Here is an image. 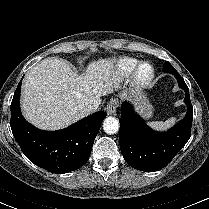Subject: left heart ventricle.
<instances>
[{
    "label": "left heart ventricle",
    "mask_w": 209,
    "mask_h": 209,
    "mask_svg": "<svg viewBox=\"0 0 209 209\" xmlns=\"http://www.w3.org/2000/svg\"><path fill=\"white\" fill-rule=\"evenodd\" d=\"M148 71H149V69L146 67V68L144 69V72H145V73H148Z\"/></svg>",
    "instance_id": "b2bd125f"
}]
</instances>
